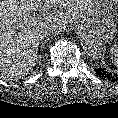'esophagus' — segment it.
<instances>
[{
    "label": "esophagus",
    "instance_id": "esophagus-1",
    "mask_svg": "<svg viewBox=\"0 0 118 118\" xmlns=\"http://www.w3.org/2000/svg\"><path fill=\"white\" fill-rule=\"evenodd\" d=\"M73 26H74L73 27L74 30L77 31V33H81L82 29L85 26V22H84V20L83 21L77 20V21L74 22Z\"/></svg>",
    "mask_w": 118,
    "mask_h": 118
}]
</instances>
